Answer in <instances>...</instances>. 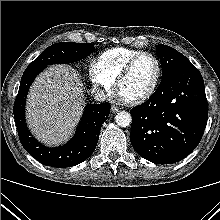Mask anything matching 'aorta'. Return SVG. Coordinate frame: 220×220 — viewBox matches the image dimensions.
I'll return each instance as SVG.
<instances>
[{
    "instance_id": "aorta-1",
    "label": "aorta",
    "mask_w": 220,
    "mask_h": 220,
    "mask_svg": "<svg viewBox=\"0 0 220 220\" xmlns=\"http://www.w3.org/2000/svg\"><path fill=\"white\" fill-rule=\"evenodd\" d=\"M115 121L118 126L120 127H127L131 124L132 122V117L131 114L126 112V111H121L117 113L115 116Z\"/></svg>"
}]
</instances>
